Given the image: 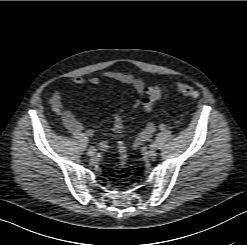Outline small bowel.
Here are the masks:
<instances>
[{
  "instance_id": "1",
  "label": "small bowel",
  "mask_w": 247,
  "mask_h": 245,
  "mask_svg": "<svg viewBox=\"0 0 247 245\" xmlns=\"http://www.w3.org/2000/svg\"><path fill=\"white\" fill-rule=\"evenodd\" d=\"M102 78L110 79L117 81L123 85L132 87L138 98L133 104V109L137 110L142 108L146 113H151L153 111V105L149 98L145 96L147 87L142 80L137 78L128 72L117 71V70H108L102 74ZM101 79L99 77H84L77 76L72 80L74 85H98ZM49 103L52 107L53 112L60 118L64 126L72 133L79 134L84 133L88 136L94 135V132L90 129H86L81 121H79L74 114L64 106L63 98L60 92L56 91L52 94L49 99ZM114 124L112 126L111 132L117 134L121 132L123 128V119L119 113L113 115ZM155 125L152 122H148L142 131L138 134L136 139L132 143V149L135 150L146 142L154 133ZM109 144L107 141H102L100 143V148L102 150H107Z\"/></svg>"
}]
</instances>
